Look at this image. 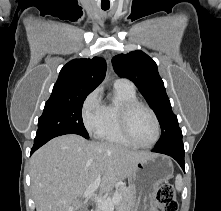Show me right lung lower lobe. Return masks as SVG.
Masks as SVG:
<instances>
[{"mask_svg":"<svg viewBox=\"0 0 221 211\" xmlns=\"http://www.w3.org/2000/svg\"><path fill=\"white\" fill-rule=\"evenodd\" d=\"M54 137H56V136H51V137H46V138H42L39 140H34V145H33V148L31 149V154L34 151H36L39 147H41L42 145H44L46 142H48L49 140H51Z\"/></svg>","mask_w":221,"mask_h":211,"instance_id":"1","label":"right lung lower lobe"}]
</instances>
